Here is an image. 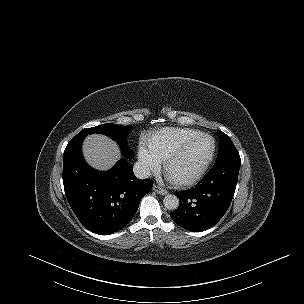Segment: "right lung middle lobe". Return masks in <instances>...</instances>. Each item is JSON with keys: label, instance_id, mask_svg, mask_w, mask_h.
Returning <instances> with one entry per match:
<instances>
[{"label": "right lung middle lobe", "instance_id": "obj_1", "mask_svg": "<svg viewBox=\"0 0 304 304\" xmlns=\"http://www.w3.org/2000/svg\"><path fill=\"white\" fill-rule=\"evenodd\" d=\"M132 129L133 128L131 125L120 126V125H115L113 123H106L92 128H85L81 130V132H79L76 136L85 137L88 134H92V133L105 134L119 142L123 156L127 158H133L134 157L133 152L126 145V137L129 133H131Z\"/></svg>", "mask_w": 304, "mask_h": 304}]
</instances>
